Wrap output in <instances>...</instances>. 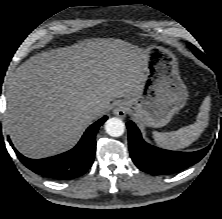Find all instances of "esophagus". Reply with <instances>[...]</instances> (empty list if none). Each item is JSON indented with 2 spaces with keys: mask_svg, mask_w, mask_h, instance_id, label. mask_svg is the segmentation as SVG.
<instances>
[{
  "mask_svg": "<svg viewBox=\"0 0 222 219\" xmlns=\"http://www.w3.org/2000/svg\"><path fill=\"white\" fill-rule=\"evenodd\" d=\"M114 115L124 118L126 116V107L123 103L117 104V106L113 110Z\"/></svg>",
  "mask_w": 222,
  "mask_h": 219,
  "instance_id": "1",
  "label": "esophagus"
}]
</instances>
